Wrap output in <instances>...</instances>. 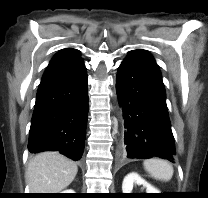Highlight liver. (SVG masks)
Here are the masks:
<instances>
[{
	"label": "liver",
	"mask_w": 208,
	"mask_h": 198,
	"mask_svg": "<svg viewBox=\"0 0 208 198\" xmlns=\"http://www.w3.org/2000/svg\"><path fill=\"white\" fill-rule=\"evenodd\" d=\"M77 164L57 152H43L29 161L25 178L31 193H59L74 180Z\"/></svg>",
	"instance_id": "1"
}]
</instances>
